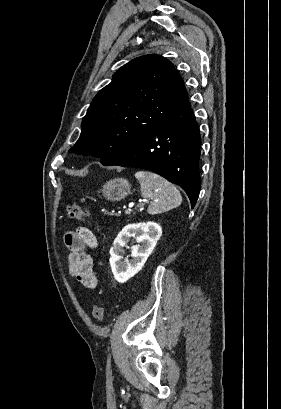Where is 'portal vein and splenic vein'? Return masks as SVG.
Wrapping results in <instances>:
<instances>
[{
	"label": "portal vein and splenic vein",
	"instance_id": "portal-vein-and-splenic-vein-1",
	"mask_svg": "<svg viewBox=\"0 0 281 409\" xmlns=\"http://www.w3.org/2000/svg\"><path fill=\"white\" fill-rule=\"evenodd\" d=\"M137 200H146V198L145 197H138ZM125 213L130 214L131 210L130 209L125 210Z\"/></svg>",
	"mask_w": 281,
	"mask_h": 409
}]
</instances>
